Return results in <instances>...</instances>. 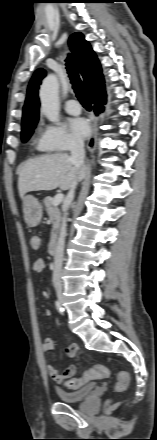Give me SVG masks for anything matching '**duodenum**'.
<instances>
[{"label": "duodenum", "instance_id": "duodenum-1", "mask_svg": "<svg viewBox=\"0 0 157 440\" xmlns=\"http://www.w3.org/2000/svg\"><path fill=\"white\" fill-rule=\"evenodd\" d=\"M56 238L50 239L49 245H48V252L51 256L56 255Z\"/></svg>", "mask_w": 157, "mask_h": 440}]
</instances>
